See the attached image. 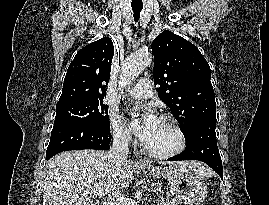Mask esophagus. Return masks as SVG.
<instances>
[{
  "label": "esophagus",
  "mask_w": 269,
  "mask_h": 205,
  "mask_svg": "<svg viewBox=\"0 0 269 205\" xmlns=\"http://www.w3.org/2000/svg\"><path fill=\"white\" fill-rule=\"evenodd\" d=\"M135 164L138 165V166H142V165L145 164V162H144L142 159H137V160L135 161Z\"/></svg>",
  "instance_id": "esophagus-1"
}]
</instances>
